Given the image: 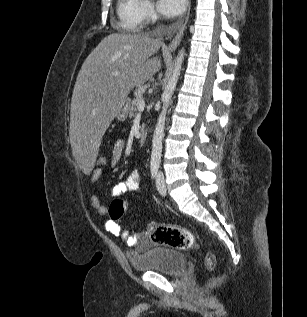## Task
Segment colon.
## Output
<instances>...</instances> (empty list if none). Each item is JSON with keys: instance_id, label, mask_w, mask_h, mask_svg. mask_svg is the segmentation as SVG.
<instances>
[{"instance_id": "obj_1", "label": "colon", "mask_w": 307, "mask_h": 317, "mask_svg": "<svg viewBox=\"0 0 307 317\" xmlns=\"http://www.w3.org/2000/svg\"><path fill=\"white\" fill-rule=\"evenodd\" d=\"M108 158L99 154L96 159V166L104 168L108 166ZM126 203L122 199H114L109 207V216L114 222L120 221L125 214ZM147 232L151 241L157 245L175 248L178 250L199 249L192 233L184 227L169 224H158L149 222L147 224ZM206 266L209 270H213L215 266V258L211 253L206 256Z\"/></svg>"}]
</instances>
